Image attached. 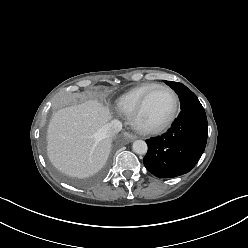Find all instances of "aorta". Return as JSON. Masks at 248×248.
Masks as SVG:
<instances>
[{
    "label": "aorta",
    "mask_w": 248,
    "mask_h": 248,
    "mask_svg": "<svg viewBox=\"0 0 248 248\" xmlns=\"http://www.w3.org/2000/svg\"><path fill=\"white\" fill-rule=\"evenodd\" d=\"M133 151L137 154L144 155L147 153L148 147L145 141L136 140L132 145Z\"/></svg>",
    "instance_id": "762f6f07"
}]
</instances>
